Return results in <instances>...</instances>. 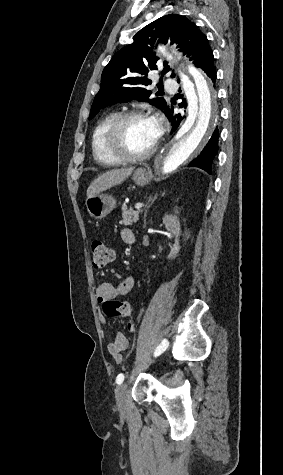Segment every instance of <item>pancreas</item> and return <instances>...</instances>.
I'll use <instances>...</instances> for the list:
<instances>
[{
  "label": "pancreas",
  "instance_id": "1",
  "mask_svg": "<svg viewBox=\"0 0 283 475\" xmlns=\"http://www.w3.org/2000/svg\"><path fill=\"white\" fill-rule=\"evenodd\" d=\"M121 210L123 220H121L120 224H123V226H133V222H138L141 210H138V212L131 210V208L127 210L126 204H123Z\"/></svg>",
  "mask_w": 283,
  "mask_h": 475
}]
</instances>
